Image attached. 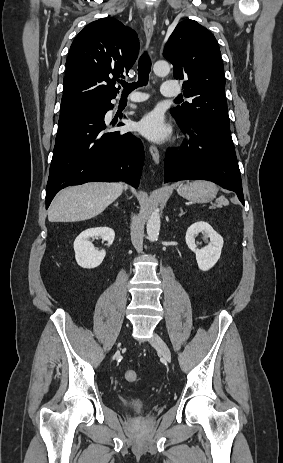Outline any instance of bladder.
Listing matches in <instances>:
<instances>
[{
  "instance_id": "bladder-1",
  "label": "bladder",
  "mask_w": 283,
  "mask_h": 463,
  "mask_svg": "<svg viewBox=\"0 0 283 463\" xmlns=\"http://www.w3.org/2000/svg\"><path fill=\"white\" fill-rule=\"evenodd\" d=\"M122 406L126 410L140 412L146 408L147 403L144 400L130 399V400H125L122 403Z\"/></svg>"
}]
</instances>
